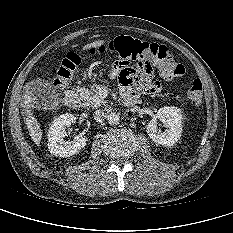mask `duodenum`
I'll use <instances>...</instances> for the list:
<instances>
[{
	"label": "duodenum",
	"instance_id": "410a0bca",
	"mask_svg": "<svg viewBox=\"0 0 233 233\" xmlns=\"http://www.w3.org/2000/svg\"><path fill=\"white\" fill-rule=\"evenodd\" d=\"M137 97L133 94L124 96V101L127 105L136 103ZM64 103L69 107H77L79 104L78 90L75 87H70L65 94Z\"/></svg>",
	"mask_w": 233,
	"mask_h": 233
}]
</instances>
